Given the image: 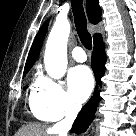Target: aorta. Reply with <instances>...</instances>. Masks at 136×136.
<instances>
[{
    "mask_svg": "<svg viewBox=\"0 0 136 136\" xmlns=\"http://www.w3.org/2000/svg\"><path fill=\"white\" fill-rule=\"evenodd\" d=\"M67 19L57 18L49 34L44 63L47 74L53 79H60L67 69V41L70 34Z\"/></svg>",
    "mask_w": 136,
    "mask_h": 136,
    "instance_id": "aorta-1",
    "label": "aorta"
}]
</instances>
